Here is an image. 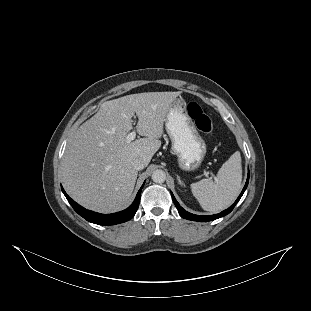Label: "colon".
I'll return each instance as SVG.
<instances>
[{
	"instance_id": "1",
	"label": "colon",
	"mask_w": 311,
	"mask_h": 311,
	"mask_svg": "<svg viewBox=\"0 0 311 311\" xmlns=\"http://www.w3.org/2000/svg\"><path fill=\"white\" fill-rule=\"evenodd\" d=\"M187 113L201 132L207 135L213 134V122L200 104L196 102L188 103Z\"/></svg>"
}]
</instances>
